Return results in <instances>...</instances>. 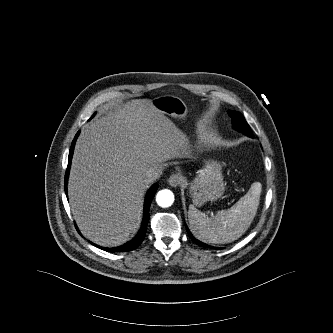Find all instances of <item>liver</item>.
I'll use <instances>...</instances> for the list:
<instances>
[{"mask_svg": "<svg viewBox=\"0 0 333 333\" xmlns=\"http://www.w3.org/2000/svg\"><path fill=\"white\" fill-rule=\"evenodd\" d=\"M183 139L149 99L116 106L79 136L68 184L82 234L104 247L125 243L140 226L146 172L180 157Z\"/></svg>", "mask_w": 333, "mask_h": 333, "instance_id": "obj_1", "label": "liver"}]
</instances>
